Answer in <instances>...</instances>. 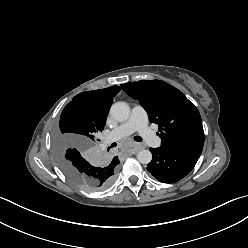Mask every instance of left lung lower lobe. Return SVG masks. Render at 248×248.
<instances>
[{
	"instance_id": "left-lung-lower-lobe-1",
	"label": "left lung lower lobe",
	"mask_w": 248,
	"mask_h": 248,
	"mask_svg": "<svg viewBox=\"0 0 248 248\" xmlns=\"http://www.w3.org/2000/svg\"><path fill=\"white\" fill-rule=\"evenodd\" d=\"M203 144V139H195L151 148L153 158L147 170L160 182H177L193 169L200 157Z\"/></svg>"
}]
</instances>
